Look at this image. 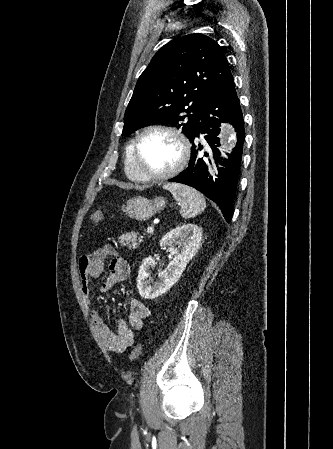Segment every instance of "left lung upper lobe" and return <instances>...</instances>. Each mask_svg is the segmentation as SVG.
Returning <instances> with one entry per match:
<instances>
[{
	"mask_svg": "<svg viewBox=\"0 0 333 449\" xmlns=\"http://www.w3.org/2000/svg\"><path fill=\"white\" fill-rule=\"evenodd\" d=\"M231 76L227 58L210 37L194 33L170 41L139 77L122 135L160 121L181 128L191 141L208 101Z\"/></svg>",
	"mask_w": 333,
	"mask_h": 449,
	"instance_id": "5c2ea615",
	"label": "left lung upper lobe"
}]
</instances>
